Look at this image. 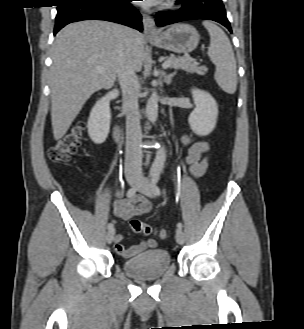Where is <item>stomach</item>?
Returning a JSON list of instances; mask_svg holds the SVG:
<instances>
[{
    "label": "stomach",
    "mask_w": 304,
    "mask_h": 329,
    "mask_svg": "<svg viewBox=\"0 0 304 329\" xmlns=\"http://www.w3.org/2000/svg\"><path fill=\"white\" fill-rule=\"evenodd\" d=\"M198 31L188 24L177 23L170 26L166 31L150 41L157 47L175 53H189L193 51L199 43Z\"/></svg>",
    "instance_id": "0dacf381"
}]
</instances>
